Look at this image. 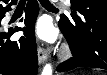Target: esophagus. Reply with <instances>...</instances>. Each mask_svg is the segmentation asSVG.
Segmentation results:
<instances>
[{
	"instance_id": "1",
	"label": "esophagus",
	"mask_w": 107,
	"mask_h": 75,
	"mask_svg": "<svg viewBox=\"0 0 107 75\" xmlns=\"http://www.w3.org/2000/svg\"><path fill=\"white\" fill-rule=\"evenodd\" d=\"M37 54H38V61L40 64H43L44 62L47 61L48 54H47V51L43 47L38 46Z\"/></svg>"
}]
</instances>
